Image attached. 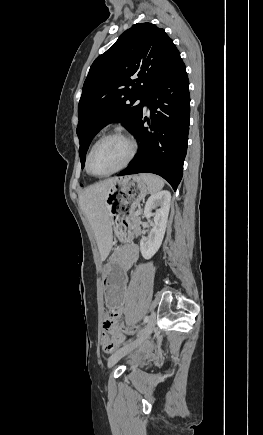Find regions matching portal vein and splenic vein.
<instances>
[{
    "label": "portal vein and splenic vein",
    "instance_id": "18ae733b",
    "mask_svg": "<svg viewBox=\"0 0 263 435\" xmlns=\"http://www.w3.org/2000/svg\"><path fill=\"white\" fill-rule=\"evenodd\" d=\"M136 214H140V212H139V211H137V212H136Z\"/></svg>",
    "mask_w": 263,
    "mask_h": 435
}]
</instances>
